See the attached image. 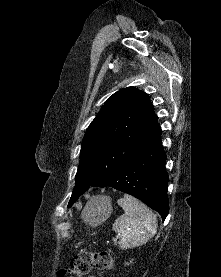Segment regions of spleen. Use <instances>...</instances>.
Segmentation results:
<instances>
[{
	"mask_svg": "<svg viewBox=\"0 0 221 277\" xmlns=\"http://www.w3.org/2000/svg\"><path fill=\"white\" fill-rule=\"evenodd\" d=\"M124 214L113 224V230L120 236L122 249L146 244L157 232L156 215L136 198L124 195L117 201Z\"/></svg>",
	"mask_w": 221,
	"mask_h": 277,
	"instance_id": "3e777b00",
	"label": "spleen"
}]
</instances>
